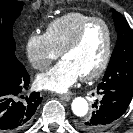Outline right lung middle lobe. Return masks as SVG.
Returning a JSON list of instances; mask_svg holds the SVG:
<instances>
[{"label":"right lung middle lobe","instance_id":"dd1d6c3e","mask_svg":"<svg viewBox=\"0 0 133 133\" xmlns=\"http://www.w3.org/2000/svg\"><path fill=\"white\" fill-rule=\"evenodd\" d=\"M24 3L13 0H0V74L17 69L20 62L15 56L16 44L12 27L21 14Z\"/></svg>","mask_w":133,"mask_h":133}]
</instances>
